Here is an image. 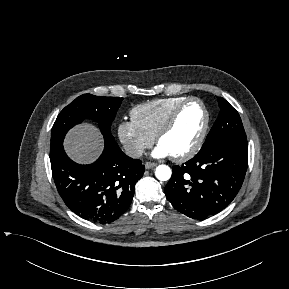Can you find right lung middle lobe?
<instances>
[{
  "mask_svg": "<svg viewBox=\"0 0 289 289\" xmlns=\"http://www.w3.org/2000/svg\"><path fill=\"white\" fill-rule=\"evenodd\" d=\"M122 100L123 98L119 97H99L91 94L77 97L60 112L52 127L50 156L62 146L68 130L84 119L96 121L103 136L114 140L110 127Z\"/></svg>",
  "mask_w": 289,
  "mask_h": 289,
  "instance_id": "1",
  "label": "right lung middle lobe"
}]
</instances>
